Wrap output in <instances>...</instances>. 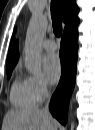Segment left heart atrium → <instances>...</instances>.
<instances>
[{
    "label": "left heart atrium",
    "mask_w": 95,
    "mask_h": 130,
    "mask_svg": "<svg viewBox=\"0 0 95 130\" xmlns=\"http://www.w3.org/2000/svg\"><path fill=\"white\" fill-rule=\"evenodd\" d=\"M43 69L50 83H56L61 75V61L57 54H48L43 59Z\"/></svg>",
    "instance_id": "left-heart-atrium-1"
}]
</instances>
